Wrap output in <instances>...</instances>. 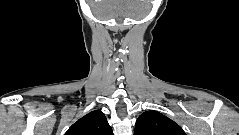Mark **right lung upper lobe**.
Returning <instances> with one entry per match:
<instances>
[{
  "label": "right lung upper lobe",
  "instance_id": "cb5924a9",
  "mask_svg": "<svg viewBox=\"0 0 239 135\" xmlns=\"http://www.w3.org/2000/svg\"><path fill=\"white\" fill-rule=\"evenodd\" d=\"M65 135H113L105 115L94 110L75 122Z\"/></svg>",
  "mask_w": 239,
  "mask_h": 135
}]
</instances>
